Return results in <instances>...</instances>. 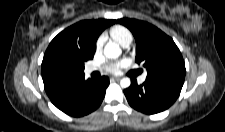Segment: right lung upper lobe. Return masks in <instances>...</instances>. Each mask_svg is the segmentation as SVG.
<instances>
[{
    "instance_id": "cb5924a9",
    "label": "right lung upper lobe",
    "mask_w": 225,
    "mask_h": 132,
    "mask_svg": "<svg viewBox=\"0 0 225 132\" xmlns=\"http://www.w3.org/2000/svg\"><path fill=\"white\" fill-rule=\"evenodd\" d=\"M115 23V20H84L60 32L50 43H64L84 59H92L96 51V40L102 31ZM42 78L45 90L81 75L82 73H55L42 62Z\"/></svg>"
}]
</instances>
